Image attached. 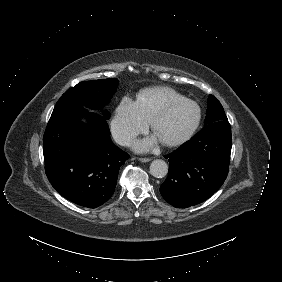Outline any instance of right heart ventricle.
Wrapping results in <instances>:
<instances>
[{"label":"right heart ventricle","mask_w":282,"mask_h":282,"mask_svg":"<svg viewBox=\"0 0 282 282\" xmlns=\"http://www.w3.org/2000/svg\"><path fill=\"white\" fill-rule=\"evenodd\" d=\"M181 98L182 96L169 88L155 87L144 90L139 95L137 102L148 119L152 121L156 113L163 109L167 103Z\"/></svg>","instance_id":"1"}]
</instances>
